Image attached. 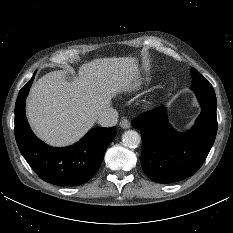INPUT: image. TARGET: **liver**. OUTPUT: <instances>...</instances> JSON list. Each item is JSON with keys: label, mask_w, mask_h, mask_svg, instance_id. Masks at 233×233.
<instances>
[{"label": "liver", "mask_w": 233, "mask_h": 233, "mask_svg": "<svg viewBox=\"0 0 233 233\" xmlns=\"http://www.w3.org/2000/svg\"><path fill=\"white\" fill-rule=\"evenodd\" d=\"M78 74L68 82L64 71H52L31 88L27 117L37 136L50 145L78 141L110 108L112 98L131 91L139 78L136 60L130 57L94 59Z\"/></svg>", "instance_id": "1"}]
</instances>
